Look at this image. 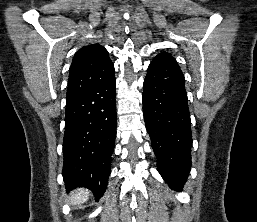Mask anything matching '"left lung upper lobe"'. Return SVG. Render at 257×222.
<instances>
[{"label": "left lung upper lobe", "mask_w": 257, "mask_h": 222, "mask_svg": "<svg viewBox=\"0 0 257 222\" xmlns=\"http://www.w3.org/2000/svg\"><path fill=\"white\" fill-rule=\"evenodd\" d=\"M155 58L168 61V62L173 63V64H176V65L178 66L177 61L172 57V55H171V54H168V53H166V52L157 55Z\"/></svg>", "instance_id": "left-lung-upper-lobe-1"}]
</instances>
